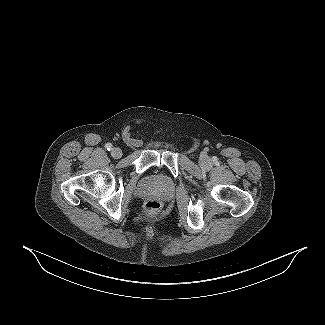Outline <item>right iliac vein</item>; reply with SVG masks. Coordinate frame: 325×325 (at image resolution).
Returning a JSON list of instances; mask_svg holds the SVG:
<instances>
[{
  "label": "right iliac vein",
  "instance_id": "1",
  "mask_svg": "<svg viewBox=\"0 0 325 325\" xmlns=\"http://www.w3.org/2000/svg\"><path fill=\"white\" fill-rule=\"evenodd\" d=\"M111 155H112L113 158L118 159V158H120L122 156V150L120 148H118V147H115V148L112 149Z\"/></svg>",
  "mask_w": 325,
  "mask_h": 325
}]
</instances>
